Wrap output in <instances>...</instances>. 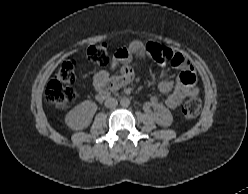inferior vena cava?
<instances>
[{"label": "inferior vena cava", "mask_w": 248, "mask_h": 194, "mask_svg": "<svg viewBox=\"0 0 248 194\" xmlns=\"http://www.w3.org/2000/svg\"><path fill=\"white\" fill-rule=\"evenodd\" d=\"M118 105V101L115 98L109 97L105 100V106L107 108H114Z\"/></svg>", "instance_id": "602c4592"}]
</instances>
